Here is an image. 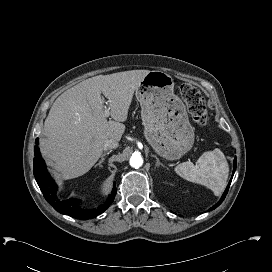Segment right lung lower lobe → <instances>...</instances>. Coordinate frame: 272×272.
I'll return each mask as SVG.
<instances>
[{
  "label": "right lung lower lobe",
  "instance_id": "1",
  "mask_svg": "<svg viewBox=\"0 0 272 272\" xmlns=\"http://www.w3.org/2000/svg\"><path fill=\"white\" fill-rule=\"evenodd\" d=\"M36 144L39 143V139H36ZM34 176L36 181L44 194L45 199L53 206L55 210L62 214L69 215L71 217L86 220L94 218L100 214H102L113 202L114 196L117 192L116 188L114 187L112 194L109 196L108 201L99 206L97 209L92 210H83L80 208L79 203L80 201L77 199H68L66 201H60L56 197L57 186L55 182L52 180L51 176L49 175L44 160L41 158L40 150L38 145L34 147Z\"/></svg>",
  "mask_w": 272,
  "mask_h": 272
}]
</instances>
